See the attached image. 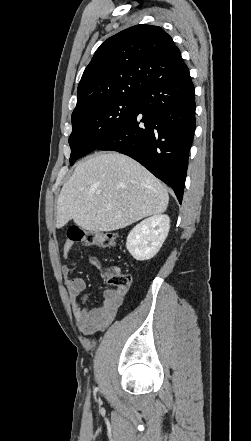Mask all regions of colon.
<instances>
[{"mask_svg":"<svg viewBox=\"0 0 251 441\" xmlns=\"http://www.w3.org/2000/svg\"><path fill=\"white\" fill-rule=\"evenodd\" d=\"M67 238L72 242L102 248L113 247L117 242V235L114 233L85 230L76 225L68 228ZM101 275L106 283L117 289H128L132 280L130 274L122 272L118 267L104 269Z\"/></svg>","mask_w":251,"mask_h":441,"instance_id":"colon-1","label":"colon"}]
</instances>
